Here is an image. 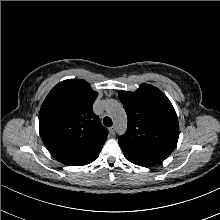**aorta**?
Returning a JSON list of instances; mask_svg holds the SVG:
<instances>
[{
	"instance_id": "aorta-1",
	"label": "aorta",
	"mask_w": 220,
	"mask_h": 220,
	"mask_svg": "<svg viewBox=\"0 0 220 220\" xmlns=\"http://www.w3.org/2000/svg\"><path fill=\"white\" fill-rule=\"evenodd\" d=\"M105 106L106 110L113 118L117 132L123 134L127 127V116L123 106L115 100H108Z\"/></svg>"
}]
</instances>
